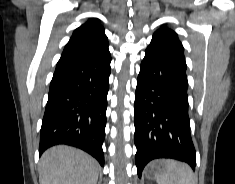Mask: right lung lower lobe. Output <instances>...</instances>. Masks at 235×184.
<instances>
[{"label":"right lung lower lobe","mask_w":235,"mask_h":184,"mask_svg":"<svg viewBox=\"0 0 235 184\" xmlns=\"http://www.w3.org/2000/svg\"><path fill=\"white\" fill-rule=\"evenodd\" d=\"M111 56L60 59L50 83L40 131L39 155L58 144L80 148L104 166Z\"/></svg>","instance_id":"obj_1"}]
</instances>
